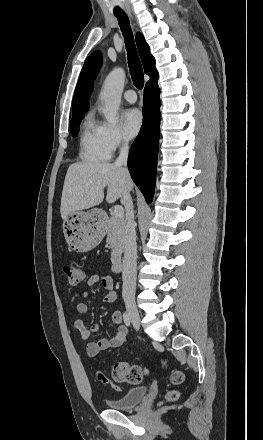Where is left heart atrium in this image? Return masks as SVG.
<instances>
[{
  "label": "left heart atrium",
  "mask_w": 263,
  "mask_h": 440,
  "mask_svg": "<svg viewBox=\"0 0 263 440\" xmlns=\"http://www.w3.org/2000/svg\"><path fill=\"white\" fill-rule=\"evenodd\" d=\"M142 125L143 116L138 109L131 108L123 113V129L128 137H135L139 133Z\"/></svg>",
  "instance_id": "obj_1"
}]
</instances>
